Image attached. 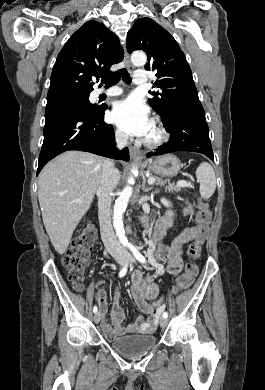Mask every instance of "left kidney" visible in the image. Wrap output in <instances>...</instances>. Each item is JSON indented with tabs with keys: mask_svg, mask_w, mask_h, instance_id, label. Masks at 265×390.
<instances>
[{
	"mask_svg": "<svg viewBox=\"0 0 265 390\" xmlns=\"http://www.w3.org/2000/svg\"><path fill=\"white\" fill-rule=\"evenodd\" d=\"M161 203H162L164 206H166L167 208H169V207L172 206L171 203H170L168 200H166L165 198H162V199H161ZM166 215L169 216V217H172V216H174V213H173L171 210H168V211L166 212Z\"/></svg>",
	"mask_w": 265,
	"mask_h": 390,
	"instance_id": "5707ae66",
	"label": "left kidney"
}]
</instances>
